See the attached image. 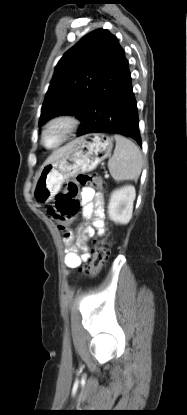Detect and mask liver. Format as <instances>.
<instances>
[{"label": "liver", "instance_id": "1", "mask_svg": "<svg viewBox=\"0 0 187 415\" xmlns=\"http://www.w3.org/2000/svg\"><path fill=\"white\" fill-rule=\"evenodd\" d=\"M69 149V144L68 145H66V146H64V147H62V148H60V149H58V150H56V151H54L49 157H48V159L45 161V164L46 163H50V162H53V161H55V160H57L58 158H60L67 150Z\"/></svg>", "mask_w": 187, "mask_h": 415}]
</instances>
